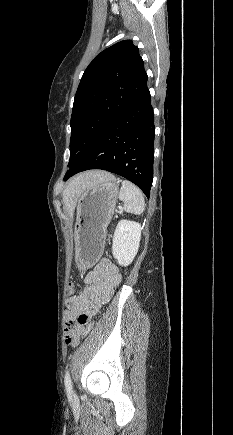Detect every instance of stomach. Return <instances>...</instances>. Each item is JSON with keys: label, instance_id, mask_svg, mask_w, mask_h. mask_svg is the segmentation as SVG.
<instances>
[{"label": "stomach", "instance_id": "1", "mask_svg": "<svg viewBox=\"0 0 233 435\" xmlns=\"http://www.w3.org/2000/svg\"><path fill=\"white\" fill-rule=\"evenodd\" d=\"M118 190L117 179L109 174L100 183L86 189L77 201L74 241L75 261L80 271L90 269L101 257Z\"/></svg>", "mask_w": 233, "mask_h": 435}]
</instances>
